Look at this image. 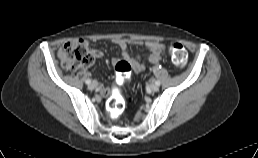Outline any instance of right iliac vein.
Here are the masks:
<instances>
[{"label": "right iliac vein", "mask_w": 258, "mask_h": 158, "mask_svg": "<svg viewBox=\"0 0 258 158\" xmlns=\"http://www.w3.org/2000/svg\"><path fill=\"white\" fill-rule=\"evenodd\" d=\"M96 87H97L96 82H92V83H90L89 86H88V88H89L90 90H94Z\"/></svg>", "instance_id": "obj_1"}]
</instances>
